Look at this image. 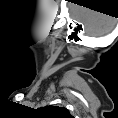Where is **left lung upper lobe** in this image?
<instances>
[{"instance_id":"1","label":"left lung upper lobe","mask_w":118,"mask_h":118,"mask_svg":"<svg viewBox=\"0 0 118 118\" xmlns=\"http://www.w3.org/2000/svg\"><path fill=\"white\" fill-rule=\"evenodd\" d=\"M57 109V108H56ZM59 109V108H58ZM62 111H67L66 109H64V108H60Z\"/></svg>"}]
</instances>
